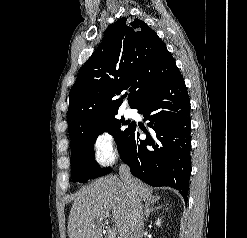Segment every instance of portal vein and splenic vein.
<instances>
[{"instance_id":"18ae733b","label":"portal vein and splenic vein","mask_w":247,"mask_h":238,"mask_svg":"<svg viewBox=\"0 0 247 238\" xmlns=\"http://www.w3.org/2000/svg\"><path fill=\"white\" fill-rule=\"evenodd\" d=\"M107 216H109V214H107ZM107 233H108L109 238H114L116 236V230L113 228L108 229Z\"/></svg>"}]
</instances>
